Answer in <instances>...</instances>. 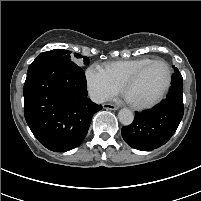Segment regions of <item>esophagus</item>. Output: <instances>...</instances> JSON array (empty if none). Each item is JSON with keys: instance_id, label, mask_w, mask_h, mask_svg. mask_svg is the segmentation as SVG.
I'll return each mask as SVG.
<instances>
[{"instance_id": "esophagus-1", "label": "esophagus", "mask_w": 201, "mask_h": 201, "mask_svg": "<svg viewBox=\"0 0 201 201\" xmlns=\"http://www.w3.org/2000/svg\"><path fill=\"white\" fill-rule=\"evenodd\" d=\"M103 108L106 110H118V106L110 103L103 104Z\"/></svg>"}]
</instances>
